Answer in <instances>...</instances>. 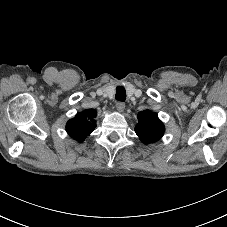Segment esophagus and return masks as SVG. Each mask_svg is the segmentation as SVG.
Listing matches in <instances>:
<instances>
[{
	"mask_svg": "<svg viewBox=\"0 0 227 227\" xmlns=\"http://www.w3.org/2000/svg\"><path fill=\"white\" fill-rule=\"evenodd\" d=\"M116 109L119 111V112H122L124 111L125 109V103L124 102H116Z\"/></svg>",
	"mask_w": 227,
	"mask_h": 227,
	"instance_id": "obj_1",
	"label": "esophagus"
}]
</instances>
